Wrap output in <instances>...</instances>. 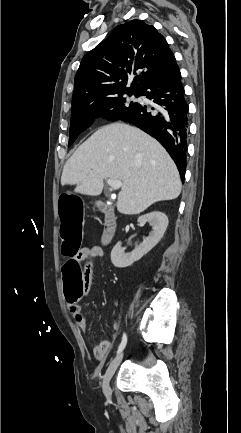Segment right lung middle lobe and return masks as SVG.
Returning <instances> with one entry per match:
<instances>
[{"label": "right lung middle lobe", "mask_w": 241, "mask_h": 433, "mask_svg": "<svg viewBox=\"0 0 241 433\" xmlns=\"http://www.w3.org/2000/svg\"><path fill=\"white\" fill-rule=\"evenodd\" d=\"M126 94L129 96H139L138 91H123L105 98L81 101L73 104L68 146L73 144L94 117L104 116L114 121L122 119L131 113L138 103L128 100Z\"/></svg>", "instance_id": "1"}]
</instances>
